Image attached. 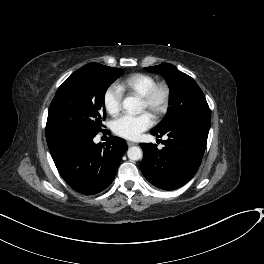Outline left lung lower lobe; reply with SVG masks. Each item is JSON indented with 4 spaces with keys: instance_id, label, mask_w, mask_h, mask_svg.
<instances>
[{
    "instance_id": "obj_1",
    "label": "left lung lower lobe",
    "mask_w": 264,
    "mask_h": 264,
    "mask_svg": "<svg viewBox=\"0 0 264 264\" xmlns=\"http://www.w3.org/2000/svg\"><path fill=\"white\" fill-rule=\"evenodd\" d=\"M210 116H193L169 127L157 137L167 135L159 150L152 143L140 144L143 161L140 164L145 178L154 186L174 190L186 184L197 172L208 138Z\"/></svg>"
}]
</instances>
